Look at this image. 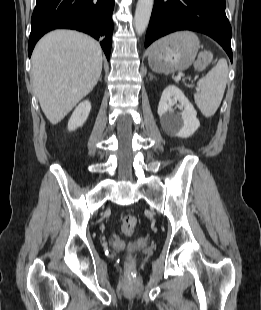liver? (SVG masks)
Returning a JSON list of instances; mask_svg holds the SVG:
<instances>
[{
    "instance_id": "6515ba94",
    "label": "liver",
    "mask_w": 261,
    "mask_h": 310,
    "mask_svg": "<svg viewBox=\"0 0 261 310\" xmlns=\"http://www.w3.org/2000/svg\"><path fill=\"white\" fill-rule=\"evenodd\" d=\"M102 50L92 37L55 30L37 43L32 54V82L41 109L59 123L97 84Z\"/></svg>"
}]
</instances>
